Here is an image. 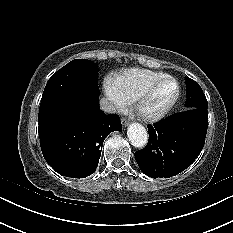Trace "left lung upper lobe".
<instances>
[{
	"mask_svg": "<svg viewBox=\"0 0 233 233\" xmlns=\"http://www.w3.org/2000/svg\"><path fill=\"white\" fill-rule=\"evenodd\" d=\"M187 83V101L185 105L187 107H203L207 105V99L199 86V84L188 79Z\"/></svg>",
	"mask_w": 233,
	"mask_h": 233,
	"instance_id": "left-lung-upper-lobe-1",
	"label": "left lung upper lobe"
}]
</instances>
